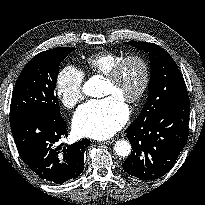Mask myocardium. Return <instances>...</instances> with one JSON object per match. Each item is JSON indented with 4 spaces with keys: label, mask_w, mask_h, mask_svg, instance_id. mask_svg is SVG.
<instances>
[{
    "label": "myocardium",
    "mask_w": 205,
    "mask_h": 205,
    "mask_svg": "<svg viewBox=\"0 0 205 205\" xmlns=\"http://www.w3.org/2000/svg\"><path fill=\"white\" fill-rule=\"evenodd\" d=\"M130 61L139 62L143 70V78L140 88L132 97L125 100V102L128 104H135L138 103L144 97L150 84L151 70L149 62L145 57L140 54H129L122 57L110 70V72L105 75V79L112 84L117 83L121 77L125 65Z\"/></svg>",
    "instance_id": "myocardium-1"
}]
</instances>
